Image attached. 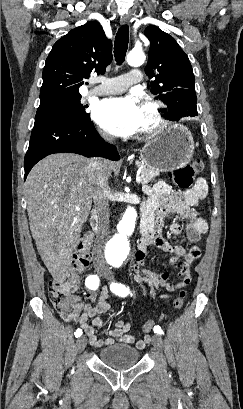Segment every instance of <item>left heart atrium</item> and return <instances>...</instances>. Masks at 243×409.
Instances as JSON below:
<instances>
[{"label":"left heart atrium","mask_w":243,"mask_h":409,"mask_svg":"<svg viewBox=\"0 0 243 409\" xmlns=\"http://www.w3.org/2000/svg\"><path fill=\"white\" fill-rule=\"evenodd\" d=\"M93 117L107 132L129 136L140 130L141 106L134 96L106 99L96 106Z\"/></svg>","instance_id":"1"}]
</instances>
